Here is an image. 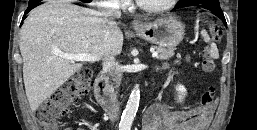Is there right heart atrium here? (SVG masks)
<instances>
[{"instance_id":"obj_1","label":"right heart atrium","mask_w":257,"mask_h":130,"mask_svg":"<svg viewBox=\"0 0 257 130\" xmlns=\"http://www.w3.org/2000/svg\"><path fill=\"white\" fill-rule=\"evenodd\" d=\"M129 1L130 0H105L103 4L115 8H124L129 4Z\"/></svg>"}]
</instances>
